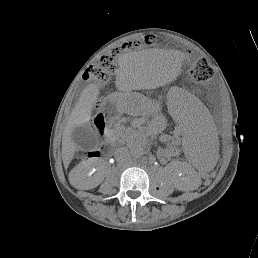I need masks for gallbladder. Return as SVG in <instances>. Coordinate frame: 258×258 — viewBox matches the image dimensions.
Segmentation results:
<instances>
[{
  "mask_svg": "<svg viewBox=\"0 0 258 258\" xmlns=\"http://www.w3.org/2000/svg\"><path fill=\"white\" fill-rule=\"evenodd\" d=\"M71 137L76 145L85 151L94 149L99 143L93 128L88 124L74 128Z\"/></svg>",
  "mask_w": 258,
  "mask_h": 258,
  "instance_id": "1",
  "label": "gallbladder"
}]
</instances>
